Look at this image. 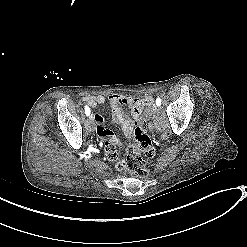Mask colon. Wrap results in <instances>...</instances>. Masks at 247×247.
<instances>
[{
  "label": "colon",
  "mask_w": 247,
  "mask_h": 247,
  "mask_svg": "<svg viewBox=\"0 0 247 247\" xmlns=\"http://www.w3.org/2000/svg\"><path fill=\"white\" fill-rule=\"evenodd\" d=\"M156 155V148L146 129L145 120L142 117L135 128V142L126 147V170L134 172L141 179L149 176L146 166V158H153Z\"/></svg>",
  "instance_id": "5ec220e1"
}]
</instances>
